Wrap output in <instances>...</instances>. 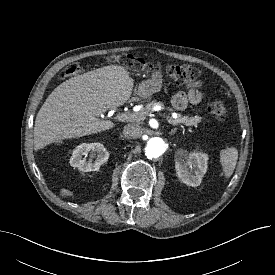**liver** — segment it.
Returning <instances> with one entry per match:
<instances>
[{"instance_id":"1","label":"liver","mask_w":275,"mask_h":275,"mask_svg":"<svg viewBox=\"0 0 275 275\" xmlns=\"http://www.w3.org/2000/svg\"><path fill=\"white\" fill-rule=\"evenodd\" d=\"M134 80L122 66H105L66 80L40 108L34 127V149L63 139L109 130L115 124L103 114L131 97ZM138 95V88L135 89Z\"/></svg>"}]
</instances>
